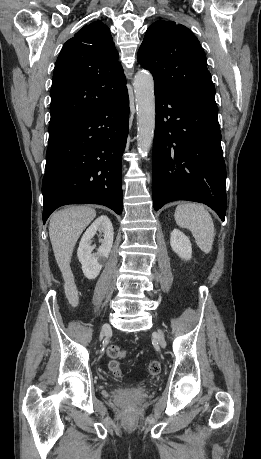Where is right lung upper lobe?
Returning a JSON list of instances; mask_svg holds the SVG:
<instances>
[{
  "instance_id": "right-lung-upper-lobe-1",
  "label": "right lung upper lobe",
  "mask_w": 261,
  "mask_h": 459,
  "mask_svg": "<svg viewBox=\"0 0 261 459\" xmlns=\"http://www.w3.org/2000/svg\"><path fill=\"white\" fill-rule=\"evenodd\" d=\"M117 58L110 30L100 21L64 44L53 73L50 126L71 125L126 89Z\"/></svg>"
}]
</instances>
